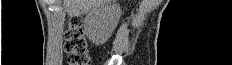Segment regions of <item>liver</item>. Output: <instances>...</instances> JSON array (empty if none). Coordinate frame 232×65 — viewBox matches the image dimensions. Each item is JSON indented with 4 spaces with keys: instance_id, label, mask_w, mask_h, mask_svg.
Returning <instances> with one entry per match:
<instances>
[{
    "instance_id": "1",
    "label": "liver",
    "mask_w": 232,
    "mask_h": 65,
    "mask_svg": "<svg viewBox=\"0 0 232 65\" xmlns=\"http://www.w3.org/2000/svg\"><path fill=\"white\" fill-rule=\"evenodd\" d=\"M63 2L68 15L73 17L86 14L96 6L116 2V0H63Z\"/></svg>"
}]
</instances>
